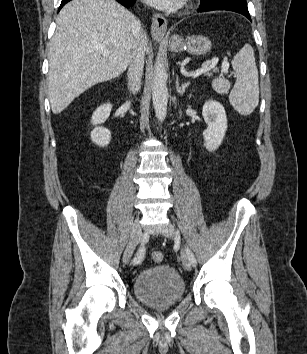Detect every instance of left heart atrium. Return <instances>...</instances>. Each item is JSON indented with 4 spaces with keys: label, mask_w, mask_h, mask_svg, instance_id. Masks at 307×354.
Wrapping results in <instances>:
<instances>
[{
    "label": "left heart atrium",
    "mask_w": 307,
    "mask_h": 354,
    "mask_svg": "<svg viewBox=\"0 0 307 354\" xmlns=\"http://www.w3.org/2000/svg\"><path fill=\"white\" fill-rule=\"evenodd\" d=\"M144 1L158 9L170 10L180 6L184 0H144Z\"/></svg>",
    "instance_id": "39dd6f15"
}]
</instances>
